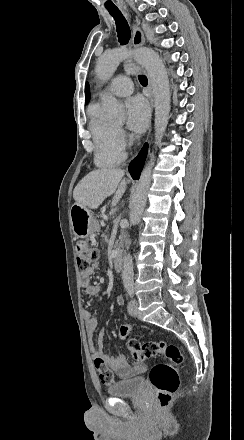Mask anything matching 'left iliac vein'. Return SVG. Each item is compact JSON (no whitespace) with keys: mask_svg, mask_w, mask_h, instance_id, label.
I'll return each mask as SVG.
<instances>
[{"mask_svg":"<svg viewBox=\"0 0 244 440\" xmlns=\"http://www.w3.org/2000/svg\"><path fill=\"white\" fill-rule=\"evenodd\" d=\"M138 312H139V310H138L137 301L134 299L130 300L128 303V313L133 316H137Z\"/></svg>","mask_w":244,"mask_h":440,"instance_id":"4c4485c4","label":"left iliac vein"}]
</instances>
